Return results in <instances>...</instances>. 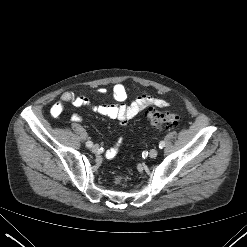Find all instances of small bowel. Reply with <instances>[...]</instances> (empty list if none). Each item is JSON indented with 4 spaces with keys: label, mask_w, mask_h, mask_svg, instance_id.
<instances>
[{
    "label": "small bowel",
    "mask_w": 247,
    "mask_h": 247,
    "mask_svg": "<svg viewBox=\"0 0 247 247\" xmlns=\"http://www.w3.org/2000/svg\"><path fill=\"white\" fill-rule=\"evenodd\" d=\"M99 93L105 94L106 91L100 90ZM112 97L115 101L113 104L93 105L84 95L73 92H65L60 96L59 101L52 106L51 114L53 116L60 115L64 109V104L71 103L76 107L87 108L92 112L107 118L116 119L122 126H124L130 119L139 115L149 106L154 105L163 108L169 105L165 99L153 97L151 95H141L130 104H126L125 101L127 98V91L125 86L120 83L114 85L112 89ZM71 120L74 122H81L82 117L81 115L74 113L71 116ZM120 142L121 139H119L112 148L106 151L105 156L107 159H112L115 157Z\"/></svg>",
    "instance_id": "c3829d8e"
}]
</instances>
